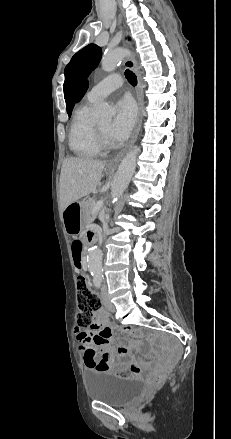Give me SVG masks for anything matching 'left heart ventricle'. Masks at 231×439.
<instances>
[{"mask_svg": "<svg viewBox=\"0 0 231 439\" xmlns=\"http://www.w3.org/2000/svg\"><path fill=\"white\" fill-rule=\"evenodd\" d=\"M98 124L100 125L102 130L106 133V135L109 136V129L111 126V121L110 120H103V121H99Z\"/></svg>", "mask_w": 231, "mask_h": 439, "instance_id": "obj_1", "label": "left heart ventricle"}]
</instances>
